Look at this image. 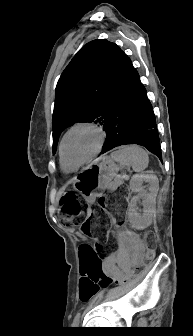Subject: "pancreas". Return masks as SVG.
Listing matches in <instances>:
<instances>
[{
    "label": "pancreas",
    "instance_id": "pancreas-1",
    "mask_svg": "<svg viewBox=\"0 0 193 336\" xmlns=\"http://www.w3.org/2000/svg\"><path fill=\"white\" fill-rule=\"evenodd\" d=\"M124 180L122 176H118L114 179V181L111 183L109 187V192L113 193L116 190V187L120 186L123 184Z\"/></svg>",
    "mask_w": 193,
    "mask_h": 336
}]
</instances>
